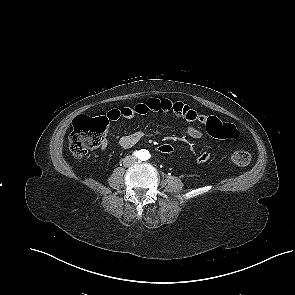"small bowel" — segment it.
I'll return each mask as SVG.
<instances>
[{"label": "small bowel", "instance_id": "small-bowel-1", "mask_svg": "<svg viewBox=\"0 0 295 295\" xmlns=\"http://www.w3.org/2000/svg\"><path fill=\"white\" fill-rule=\"evenodd\" d=\"M172 112L177 116L185 119L186 121L193 123L198 122L207 126L210 120H218L216 117L208 116L205 114L198 113L189 105L180 102L172 101L166 98H148L143 102L136 103L133 106H125L118 109H111L107 112L105 118L109 121H117L121 118L131 119L135 115H144L149 112ZM187 134L194 139L200 138L202 132L199 128L194 125L187 127ZM144 134L141 131H137L120 138L119 146L122 149H129L136 145L142 140ZM103 149L107 147V142L104 141L101 145ZM210 159V153L202 152L197 156V163L203 164L208 162Z\"/></svg>", "mask_w": 295, "mask_h": 295}]
</instances>
